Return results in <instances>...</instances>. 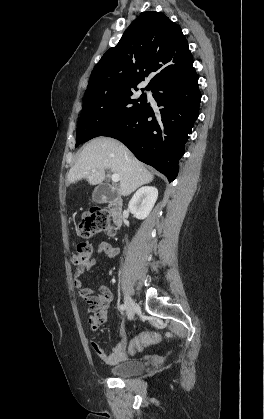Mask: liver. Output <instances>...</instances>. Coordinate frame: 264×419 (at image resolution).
<instances>
[{
  "label": "liver",
  "mask_w": 264,
  "mask_h": 419,
  "mask_svg": "<svg viewBox=\"0 0 264 419\" xmlns=\"http://www.w3.org/2000/svg\"><path fill=\"white\" fill-rule=\"evenodd\" d=\"M106 169L119 175L120 193L123 196L150 183L154 178L122 143L113 138L98 137L83 147L78 161L69 171L68 182L86 179L91 185L102 184Z\"/></svg>",
  "instance_id": "1"
}]
</instances>
